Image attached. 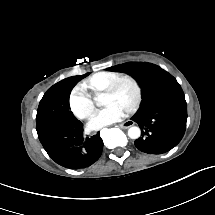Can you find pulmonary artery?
I'll use <instances>...</instances> for the list:
<instances>
[{"mask_svg": "<svg viewBox=\"0 0 215 215\" xmlns=\"http://www.w3.org/2000/svg\"><path fill=\"white\" fill-rule=\"evenodd\" d=\"M93 83L97 87H106L109 84V77L106 74H97L93 78Z\"/></svg>", "mask_w": 215, "mask_h": 215, "instance_id": "1", "label": "pulmonary artery"}]
</instances>
